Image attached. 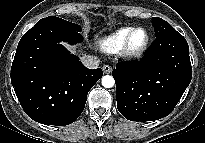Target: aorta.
Instances as JSON below:
<instances>
[{
  "mask_svg": "<svg viewBox=\"0 0 205 143\" xmlns=\"http://www.w3.org/2000/svg\"><path fill=\"white\" fill-rule=\"evenodd\" d=\"M115 84V80L110 75H105L102 77V86L105 88H112Z\"/></svg>",
  "mask_w": 205,
  "mask_h": 143,
  "instance_id": "1",
  "label": "aorta"
}]
</instances>
